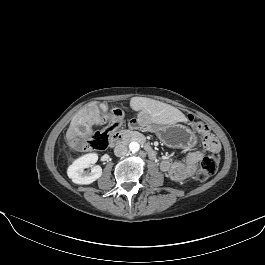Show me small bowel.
<instances>
[{"instance_id": "obj_1", "label": "small bowel", "mask_w": 265, "mask_h": 265, "mask_svg": "<svg viewBox=\"0 0 265 265\" xmlns=\"http://www.w3.org/2000/svg\"><path fill=\"white\" fill-rule=\"evenodd\" d=\"M204 147L209 151H219L220 144L216 137L208 134L202 138ZM203 154L200 151L187 153L181 161L171 162L164 160L160 164L161 170L167 174L173 181L182 182L193 176L196 166L201 160Z\"/></svg>"}]
</instances>
